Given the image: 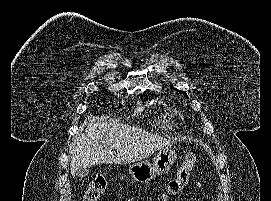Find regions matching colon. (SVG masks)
<instances>
[{"label": "colon", "mask_w": 271, "mask_h": 201, "mask_svg": "<svg viewBox=\"0 0 271 201\" xmlns=\"http://www.w3.org/2000/svg\"><path fill=\"white\" fill-rule=\"evenodd\" d=\"M196 165V155L189 152L181 167L179 168L175 178L170 180L164 188L160 201H168L169 198L178 195L189 183L191 173ZM107 188V180L102 177L94 178L83 196V201H99L100 196L104 193Z\"/></svg>", "instance_id": "1"}]
</instances>
